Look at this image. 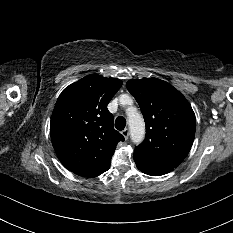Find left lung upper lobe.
<instances>
[{
  "instance_id": "5c2ea615",
  "label": "left lung upper lobe",
  "mask_w": 233,
  "mask_h": 233,
  "mask_svg": "<svg viewBox=\"0 0 233 233\" xmlns=\"http://www.w3.org/2000/svg\"><path fill=\"white\" fill-rule=\"evenodd\" d=\"M126 87L138 102L146 125L145 140L134 151L176 168L188 155L195 136L191 105L172 85L157 78L129 80Z\"/></svg>"
}]
</instances>
